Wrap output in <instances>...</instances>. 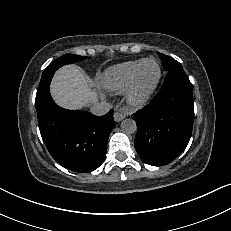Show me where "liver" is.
Returning a JSON list of instances; mask_svg holds the SVG:
<instances>
[{"instance_id": "1", "label": "liver", "mask_w": 231, "mask_h": 231, "mask_svg": "<svg viewBox=\"0 0 231 231\" xmlns=\"http://www.w3.org/2000/svg\"><path fill=\"white\" fill-rule=\"evenodd\" d=\"M50 90L54 101L66 109H80L97 101V93L74 65L64 66L56 72Z\"/></svg>"}]
</instances>
